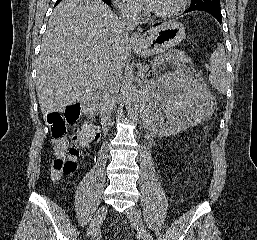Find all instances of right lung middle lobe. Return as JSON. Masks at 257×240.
<instances>
[{
  "label": "right lung middle lobe",
  "instance_id": "obj_1",
  "mask_svg": "<svg viewBox=\"0 0 257 240\" xmlns=\"http://www.w3.org/2000/svg\"><path fill=\"white\" fill-rule=\"evenodd\" d=\"M105 2H111V0H104Z\"/></svg>",
  "mask_w": 257,
  "mask_h": 240
}]
</instances>
